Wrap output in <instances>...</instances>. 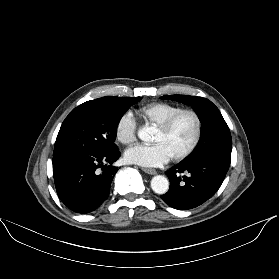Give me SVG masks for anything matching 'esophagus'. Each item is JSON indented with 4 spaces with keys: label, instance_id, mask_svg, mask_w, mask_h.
I'll use <instances>...</instances> for the list:
<instances>
[{
    "label": "esophagus",
    "instance_id": "34e87169",
    "mask_svg": "<svg viewBox=\"0 0 279 279\" xmlns=\"http://www.w3.org/2000/svg\"><path fill=\"white\" fill-rule=\"evenodd\" d=\"M142 170L147 174H151V175L157 174V171L155 169H152V168H142Z\"/></svg>",
    "mask_w": 279,
    "mask_h": 279
}]
</instances>
